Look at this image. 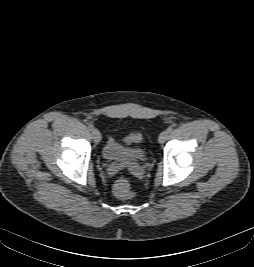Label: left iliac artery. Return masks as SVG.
<instances>
[{"label": "left iliac artery", "instance_id": "left-iliac-artery-1", "mask_svg": "<svg viewBox=\"0 0 254 267\" xmlns=\"http://www.w3.org/2000/svg\"><path fill=\"white\" fill-rule=\"evenodd\" d=\"M172 130H173V127H172V126H170V127L167 128V131H168L169 133H170Z\"/></svg>", "mask_w": 254, "mask_h": 267}]
</instances>
